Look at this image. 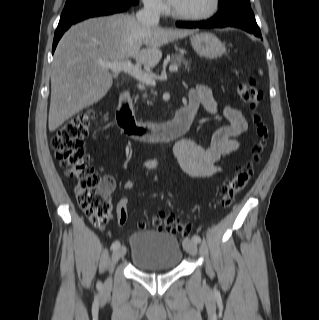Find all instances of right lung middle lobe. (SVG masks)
Here are the masks:
<instances>
[{"instance_id": "dd1d6c3e", "label": "right lung middle lobe", "mask_w": 319, "mask_h": 320, "mask_svg": "<svg viewBox=\"0 0 319 320\" xmlns=\"http://www.w3.org/2000/svg\"><path fill=\"white\" fill-rule=\"evenodd\" d=\"M107 1H130L133 3H138L139 0H66L64 10L61 14V18L68 16L85 7H89L94 4L103 3Z\"/></svg>"}]
</instances>
